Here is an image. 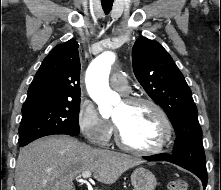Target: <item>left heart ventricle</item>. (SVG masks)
I'll list each match as a JSON object with an SVG mask.
<instances>
[{
    "label": "left heart ventricle",
    "mask_w": 221,
    "mask_h": 190,
    "mask_svg": "<svg viewBox=\"0 0 221 190\" xmlns=\"http://www.w3.org/2000/svg\"><path fill=\"white\" fill-rule=\"evenodd\" d=\"M113 120L121 129L124 139L135 147H151L160 139L161 121L148 105L130 106L123 101L116 108Z\"/></svg>",
    "instance_id": "1"
}]
</instances>
